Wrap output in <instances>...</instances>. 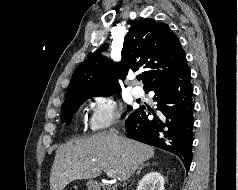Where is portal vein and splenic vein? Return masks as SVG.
<instances>
[{"label": "portal vein and splenic vein", "instance_id": "1", "mask_svg": "<svg viewBox=\"0 0 238 190\" xmlns=\"http://www.w3.org/2000/svg\"><path fill=\"white\" fill-rule=\"evenodd\" d=\"M103 169L106 172L108 177H110L112 179H116L117 178V175H116L114 170H111V169H108V168H103Z\"/></svg>", "mask_w": 238, "mask_h": 190}]
</instances>
